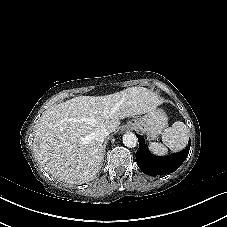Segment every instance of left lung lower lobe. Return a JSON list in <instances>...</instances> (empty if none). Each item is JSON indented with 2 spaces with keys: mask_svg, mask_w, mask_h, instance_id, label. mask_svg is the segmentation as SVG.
Returning a JSON list of instances; mask_svg holds the SVG:
<instances>
[{
  "mask_svg": "<svg viewBox=\"0 0 227 227\" xmlns=\"http://www.w3.org/2000/svg\"><path fill=\"white\" fill-rule=\"evenodd\" d=\"M139 149L137 151V164L143 173L151 176L169 174L177 170L188 156L190 149V139L185 150L166 157H156L152 155L141 135H137Z\"/></svg>",
  "mask_w": 227,
  "mask_h": 227,
  "instance_id": "obj_1",
  "label": "left lung lower lobe"
}]
</instances>
